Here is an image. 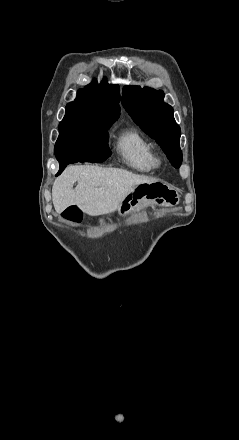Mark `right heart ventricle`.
I'll return each instance as SVG.
<instances>
[{"instance_id":"right-heart-ventricle-1","label":"right heart ventricle","mask_w":239,"mask_h":440,"mask_svg":"<svg viewBox=\"0 0 239 440\" xmlns=\"http://www.w3.org/2000/svg\"><path fill=\"white\" fill-rule=\"evenodd\" d=\"M115 152L128 168L141 173H151L157 168L156 155L150 141L138 130L129 129L113 138Z\"/></svg>"}]
</instances>
